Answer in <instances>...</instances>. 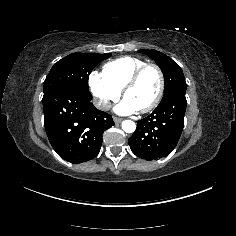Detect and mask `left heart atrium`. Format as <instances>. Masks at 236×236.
I'll return each mask as SVG.
<instances>
[{
  "mask_svg": "<svg viewBox=\"0 0 236 236\" xmlns=\"http://www.w3.org/2000/svg\"><path fill=\"white\" fill-rule=\"evenodd\" d=\"M137 111H138L137 107H135L127 99L123 100L115 107V112L119 114H131V113H136Z\"/></svg>",
  "mask_w": 236,
  "mask_h": 236,
  "instance_id": "39dd6f15",
  "label": "left heart atrium"
}]
</instances>
